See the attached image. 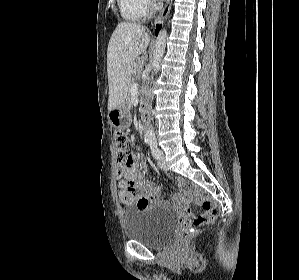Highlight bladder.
Returning <instances> with one entry per match:
<instances>
[{
    "label": "bladder",
    "instance_id": "31cf9c89",
    "mask_svg": "<svg viewBox=\"0 0 299 280\" xmlns=\"http://www.w3.org/2000/svg\"><path fill=\"white\" fill-rule=\"evenodd\" d=\"M177 225L175 214L157 205L130 209L123 215L125 237L156 249L170 243Z\"/></svg>",
    "mask_w": 299,
    "mask_h": 280
}]
</instances>
